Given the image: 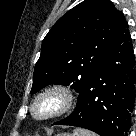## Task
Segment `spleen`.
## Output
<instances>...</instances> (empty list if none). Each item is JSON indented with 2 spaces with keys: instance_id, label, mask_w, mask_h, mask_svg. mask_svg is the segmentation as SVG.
<instances>
[{
  "instance_id": "3e777b00",
  "label": "spleen",
  "mask_w": 136,
  "mask_h": 136,
  "mask_svg": "<svg viewBox=\"0 0 136 136\" xmlns=\"http://www.w3.org/2000/svg\"><path fill=\"white\" fill-rule=\"evenodd\" d=\"M73 136H96V135L83 129H77L74 131Z\"/></svg>"
}]
</instances>
